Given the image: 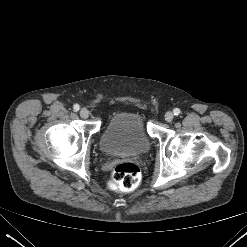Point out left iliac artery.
<instances>
[{"label":"left iliac artery","mask_w":247,"mask_h":247,"mask_svg":"<svg viewBox=\"0 0 247 247\" xmlns=\"http://www.w3.org/2000/svg\"><path fill=\"white\" fill-rule=\"evenodd\" d=\"M180 112H181V111H180L179 108H175V109L173 110L174 115H179Z\"/></svg>","instance_id":"44dca946"}]
</instances>
